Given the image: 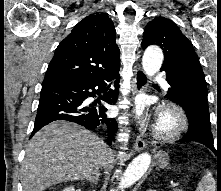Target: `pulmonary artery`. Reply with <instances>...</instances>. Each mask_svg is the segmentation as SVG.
Instances as JSON below:
<instances>
[{
	"label": "pulmonary artery",
	"mask_w": 221,
	"mask_h": 191,
	"mask_svg": "<svg viewBox=\"0 0 221 191\" xmlns=\"http://www.w3.org/2000/svg\"><path fill=\"white\" fill-rule=\"evenodd\" d=\"M156 78L161 82V84L163 85V87H165V88L168 87V84H167V82H166L164 79L158 77V75H156Z\"/></svg>",
	"instance_id": "pulmonary-artery-1"
}]
</instances>
